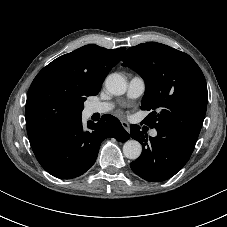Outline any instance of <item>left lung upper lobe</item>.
Returning <instances> with one entry per match:
<instances>
[{"mask_svg":"<svg viewBox=\"0 0 227 227\" xmlns=\"http://www.w3.org/2000/svg\"><path fill=\"white\" fill-rule=\"evenodd\" d=\"M123 65L146 81L141 109L151 113L143 123L196 142L208 100L206 81L196 62L170 46L147 42L130 47Z\"/></svg>","mask_w":227,"mask_h":227,"instance_id":"obj_1","label":"left lung upper lobe"}]
</instances>
